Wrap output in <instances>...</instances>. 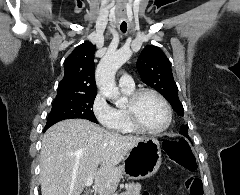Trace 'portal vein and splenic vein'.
I'll list each match as a JSON object with an SVG mask.
<instances>
[{"label":"portal vein and splenic vein","mask_w":240,"mask_h":195,"mask_svg":"<svg viewBox=\"0 0 240 195\" xmlns=\"http://www.w3.org/2000/svg\"><path fill=\"white\" fill-rule=\"evenodd\" d=\"M92 183H93V179L91 177V179H87V181H85L84 185L85 187H88V185H92Z\"/></svg>","instance_id":"18ae733b"}]
</instances>
